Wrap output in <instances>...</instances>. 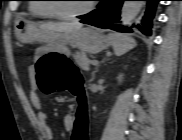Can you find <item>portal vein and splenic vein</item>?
I'll list each match as a JSON object with an SVG mask.
<instances>
[{
	"label": "portal vein and splenic vein",
	"mask_w": 182,
	"mask_h": 140,
	"mask_svg": "<svg viewBox=\"0 0 182 140\" xmlns=\"http://www.w3.org/2000/svg\"><path fill=\"white\" fill-rule=\"evenodd\" d=\"M91 63H92L93 65H97V64H98V61H97V60H92Z\"/></svg>",
	"instance_id": "obj_1"
}]
</instances>
